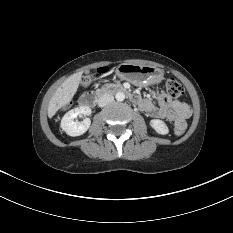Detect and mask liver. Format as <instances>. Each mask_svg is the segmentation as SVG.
<instances>
[{
	"label": "liver",
	"instance_id": "obj_1",
	"mask_svg": "<svg viewBox=\"0 0 233 233\" xmlns=\"http://www.w3.org/2000/svg\"><path fill=\"white\" fill-rule=\"evenodd\" d=\"M82 72L69 76L60 87L57 88L48 104V117L52 118L56 112L68 104L78 90Z\"/></svg>",
	"mask_w": 233,
	"mask_h": 233
}]
</instances>
